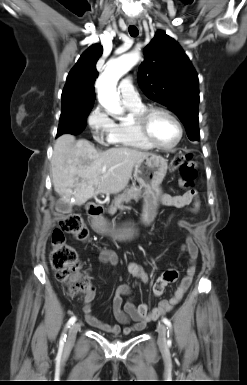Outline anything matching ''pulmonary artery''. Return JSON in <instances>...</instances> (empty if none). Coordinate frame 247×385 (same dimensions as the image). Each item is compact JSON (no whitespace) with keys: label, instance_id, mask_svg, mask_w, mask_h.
<instances>
[{"label":"pulmonary artery","instance_id":"pulmonary-artery-1","mask_svg":"<svg viewBox=\"0 0 247 385\" xmlns=\"http://www.w3.org/2000/svg\"><path fill=\"white\" fill-rule=\"evenodd\" d=\"M119 89H120L121 98L124 104H130V105L141 104L139 94L135 90L129 78H125L121 81L119 85Z\"/></svg>","mask_w":247,"mask_h":385}]
</instances>
